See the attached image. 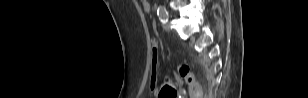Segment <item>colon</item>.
<instances>
[{
  "instance_id": "colon-1",
  "label": "colon",
  "mask_w": 308,
  "mask_h": 98,
  "mask_svg": "<svg viewBox=\"0 0 308 98\" xmlns=\"http://www.w3.org/2000/svg\"><path fill=\"white\" fill-rule=\"evenodd\" d=\"M158 62L159 54L156 46L154 45L152 50L151 90L155 91L159 98H175L177 95V90L173 82L167 80L162 84L158 83ZM178 73L188 85L191 98H203V89L196 80L190 66L187 64L179 65Z\"/></svg>"
}]
</instances>
